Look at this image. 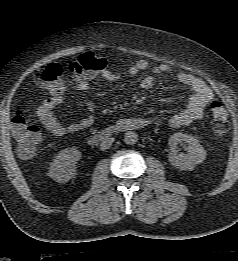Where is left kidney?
Listing matches in <instances>:
<instances>
[{
  "mask_svg": "<svg viewBox=\"0 0 238 261\" xmlns=\"http://www.w3.org/2000/svg\"><path fill=\"white\" fill-rule=\"evenodd\" d=\"M187 143V153H178L177 145ZM170 152L169 162L180 170H193L195 166L202 163L206 158V151L200 142L193 136L183 133H175L169 138Z\"/></svg>",
  "mask_w": 238,
  "mask_h": 261,
  "instance_id": "5707ae66",
  "label": "left kidney"
}]
</instances>
